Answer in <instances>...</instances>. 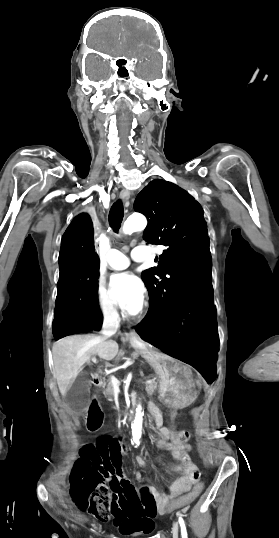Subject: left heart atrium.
Instances as JSON below:
<instances>
[{"label": "left heart atrium", "mask_w": 279, "mask_h": 538, "mask_svg": "<svg viewBox=\"0 0 279 538\" xmlns=\"http://www.w3.org/2000/svg\"><path fill=\"white\" fill-rule=\"evenodd\" d=\"M110 288L127 312L137 311L145 298V287L142 280L132 272H123L112 275Z\"/></svg>", "instance_id": "left-heart-atrium-1"}]
</instances>
